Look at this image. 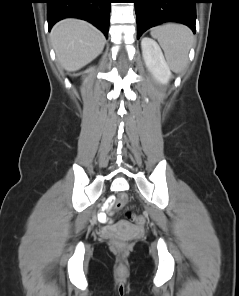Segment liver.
<instances>
[{
  "mask_svg": "<svg viewBox=\"0 0 239 296\" xmlns=\"http://www.w3.org/2000/svg\"><path fill=\"white\" fill-rule=\"evenodd\" d=\"M50 37L58 62L69 72L77 71L94 60L106 42L101 31L79 19L58 22Z\"/></svg>",
  "mask_w": 239,
  "mask_h": 296,
  "instance_id": "6515ba94",
  "label": "liver"
}]
</instances>
